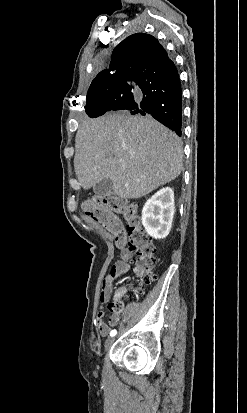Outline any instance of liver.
<instances>
[{
	"label": "liver",
	"instance_id": "1",
	"mask_svg": "<svg viewBox=\"0 0 247 413\" xmlns=\"http://www.w3.org/2000/svg\"><path fill=\"white\" fill-rule=\"evenodd\" d=\"M74 168L83 188L112 180L120 198H139L174 180L182 168L181 138L151 116L106 112L85 118L75 140Z\"/></svg>",
	"mask_w": 247,
	"mask_h": 413
}]
</instances>
